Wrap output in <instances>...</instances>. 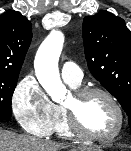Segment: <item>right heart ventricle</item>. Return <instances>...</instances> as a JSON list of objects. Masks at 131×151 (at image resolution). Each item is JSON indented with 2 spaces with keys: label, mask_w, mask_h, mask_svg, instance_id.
I'll list each match as a JSON object with an SVG mask.
<instances>
[{
  "label": "right heart ventricle",
  "mask_w": 131,
  "mask_h": 151,
  "mask_svg": "<svg viewBox=\"0 0 131 151\" xmlns=\"http://www.w3.org/2000/svg\"><path fill=\"white\" fill-rule=\"evenodd\" d=\"M72 88L77 89L79 84L68 83ZM55 106V119L48 135H55L64 139H71L74 137L69 129L66 113L62 105Z\"/></svg>",
  "instance_id": "right-heart-ventricle-1"
}]
</instances>
